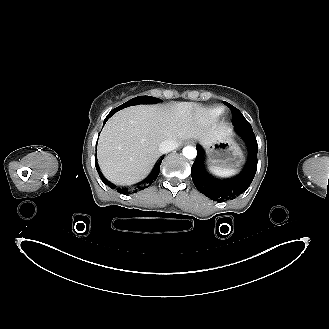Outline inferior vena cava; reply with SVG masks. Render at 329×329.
I'll list each match as a JSON object with an SVG mask.
<instances>
[{
    "label": "inferior vena cava",
    "mask_w": 329,
    "mask_h": 329,
    "mask_svg": "<svg viewBox=\"0 0 329 329\" xmlns=\"http://www.w3.org/2000/svg\"><path fill=\"white\" fill-rule=\"evenodd\" d=\"M178 147V143L174 140H164L159 145V151L161 153L170 152Z\"/></svg>",
    "instance_id": "obj_1"
}]
</instances>
